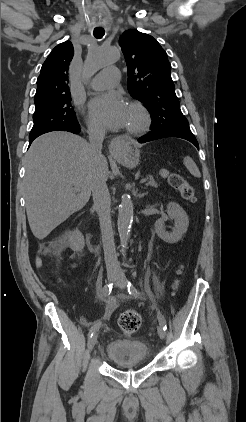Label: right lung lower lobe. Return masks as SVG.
I'll use <instances>...</instances> for the list:
<instances>
[{"label": "right lung lower lobe", "instance_id": "right-lung-lower-lobe-1", "mask_svg": "<svg viewBox=\"0 0 246 422\" xmlns=\"http://www.w3.org/2000/svg\"><path fill=\"white\" fill-rule=\"evenodd\" d=\"M56 130H61V131H68V132H72V133H74V134H78L79 132H80V127H79V124L78 125H76V126H74V127H72V128H57V129H54V130H52V131H56ZM50 132V131H49ZM38 136H36V137H33V138H29V144H31L32 142H33V140L35 139V138H37Z\"/></svg>", "mask_w": 246, "mask_h": 422}]
</instances>
